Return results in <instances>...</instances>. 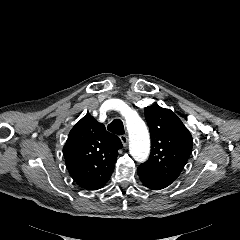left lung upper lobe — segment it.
<instances>
[{"instance_id": "left-lung-upper-lobe-1", "label": "left lung upper lobe", "mask_w": 240, "mask_h": 240, "mask_svg": "<svg viewBox=\"0 0 240 240\" xmlns=\"http://www.w3.org/2000/svg\"><path fill=\"white\" fill-rule=\"evenodd\" d=\"M145 118L151 135V154L144 164L175 181L192 151V136L170 109L148 106Z\"/></svg>"}]
</instances>
